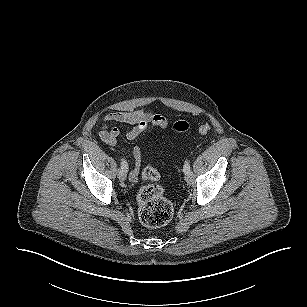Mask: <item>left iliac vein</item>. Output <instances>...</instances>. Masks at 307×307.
Here are the masks:
<instances>
[{"label":"left iliac vein","instance_id":"4c4485c4","mask_svg":"<svg viewBox=\"0 0 307 307\" xmlns=\"http://www.w3.org/2000/svg\"><path fill=\"white\" fill-rule=\"evenodd\" d=\"M185 180L188 184H193L194 182V174L192 172V170H188L187 172H185Z\"/></svg>","mask_w":307,"mask_h":307}]
</instances>
